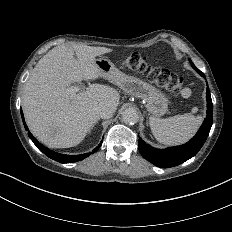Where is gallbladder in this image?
<instances>
[{"label": "gallbladder", "mask_w": 232, "mask_h": 232, "mask_svg": "<svg viewBox=\"0 0 232 232\" xmlns=\"http://www.w3.org/2000/svg\"><path fill=\"white\" fill-rule=\"evenodd\" d=\"M79 86H80V83H79V82H76V83H73V84H72V87H73V88H76V87H79Z\"/></svg>", "instance_id": "gallbladder-1"}]
</instances>
